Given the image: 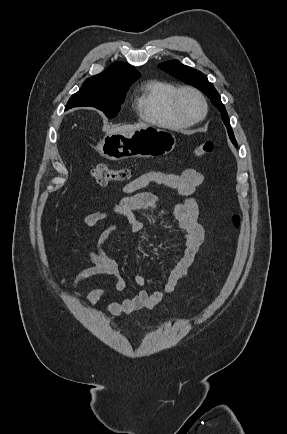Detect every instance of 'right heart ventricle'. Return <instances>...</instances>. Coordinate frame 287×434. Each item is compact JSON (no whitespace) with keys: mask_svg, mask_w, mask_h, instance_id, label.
Here are the masks:
<instances>
[{"mask_svg":"<svg viewBox=\"0 0 287 434\" xmlns=\"http://www.w3.org/2000/svg\"><path fill=\"white\" fill-rule=\"evenodd\" d=\"M176 87L161 80H149L140 87L137 108L141 117L164 127H186L188 124L178 119L172 112L170 100Z\"/></svg>","mask_w":287,"mask_h":434,"instance_id":"1","label":"right heart ventricle"}]
</instances>
